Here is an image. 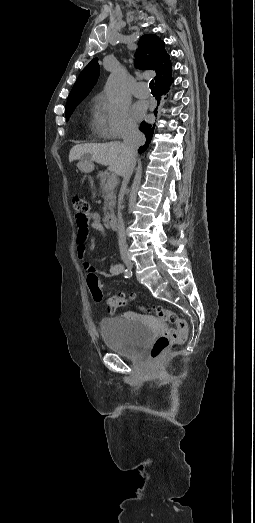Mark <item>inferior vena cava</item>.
I'll return each instance as SVG.
<instances>
[{
	"instance_id": "inferior-vena-cava-1",
	"label": "inferior vena cava",
	"mask_w": 255,
	"mask_h": 523,
	"mask_svg": "<svg viewBox=\"0 0 255 523\" xmlns=\"http://www.w3.org/2000/svg\"><path fill=\"white\" fill-rule=\"evenodd\" d=\"M145 142L144 134L142 132H139L138 126L136 124H130L128 126L125 136H124V146L121 154V158H123L125 162V168L121 174L123 178L122 186H121V194H124L127 184L133 174V170L135 168L136 164V154L138 152L139 146H143ZM122 208H119L118 212V244H119V250L120 254H126L127 252V244H126V234H125V226H124V220L122 218Z\"/></svg>"
}]
</instances>
